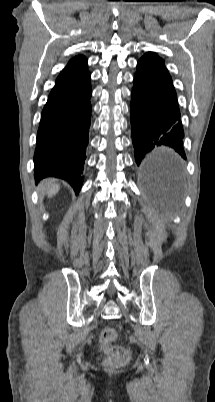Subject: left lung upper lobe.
<instances>
[{"mask_svg": "<svg viewBox=\"0 0 215 402\" xmlns=\"http://www.w3.org/2000/svg\"><path fill=\"white\" fill-rule=\"evenodd\" d=\"M143 57L154 58V59H157V60H159V61L164 62L163 59H161V58H160L156 53H154V52H148V53H146Z\"/></svg>", "mask_w": 215, "mask_h": 402, "instance_id": "obj_1", "label": "left lung upper lobe"}]
</instances>
